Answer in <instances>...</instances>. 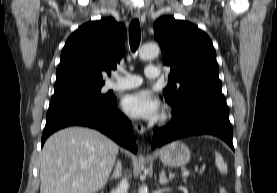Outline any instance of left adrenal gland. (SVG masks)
Here are the masks:
<instances>
[{"mask_svg": "<svg viewBox=\"0 0 277 193\" xmlns=\"http://www.w3.org/2000/svg\"><path fill=\"white\" fill-rule=\"evenodd\" d=\"M171 178H166V175H165V170H162L159 174V184L160 185H165L167 184L168 182H170Z\"/></svg>", "mask_w": 277, "mask_h": 193, "instance_id": "obj_1", "label": "left adrenal gland"}]
</instances>
